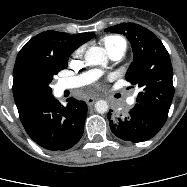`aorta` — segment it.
<instances>
[{
  "label": "aorta",
  "mask_w": 187,
  "mask_h": 187,
  "mask_svg": "<svg viewBox=\"0 0 187 187\" xmlns=\"http://www.w3.org/2000/svg\"><path fill=\"white\" fill-rule=\"evenodd\" d=\"M85 60L89 65H107V57L105 51L100 47H91L85 53ZM109 106L108 103L104 100H99L95 103V110L104 114L108 111Z\"/></svg>",
  "instance_id": "762f6f07"
}]
</instances>
